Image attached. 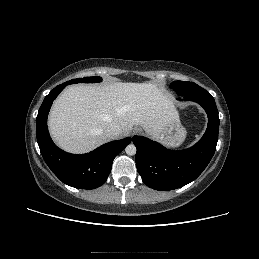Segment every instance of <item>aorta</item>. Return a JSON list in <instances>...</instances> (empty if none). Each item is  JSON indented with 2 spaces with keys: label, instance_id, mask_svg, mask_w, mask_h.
<instances>
[{
  "label": "aorta",
  "instance_id": "obj_1",
  "mask_svg": "<svg viewBox=\"0 0 259 259\" xmlns=\"http://www.w3.org/2000/svg\"><path fill=\"white\" fill-rule=\"evenodd\" d=\"M125 152L128 155H135L136 154V147L134 144H129L126 148H125Z\"/></svg>",
  "mask_w": 259,
  "mask_h": 259
}]
</instances>
